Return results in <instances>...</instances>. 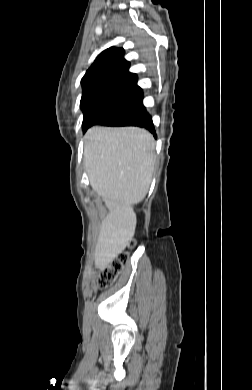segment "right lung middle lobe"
Instances as JSON below:
<instances>
[{
    "mask_svg": "<svg viewBox=\"0 0 252 390\" xmlns=\"http://www.w3.org/2000/svg\"><path fill=\"white\" fill-rule=\"evenodd\" d=\"M135 104L136 102L125 100H102L85 105L82 107L84 114L82 128L85 132L93 125L103 124Z\"/></svg>",
    "mask_w": 252,
    "mask_h": 390,
    "instance_id": "obj_1",
    "label": "right lung middle lobe"
}]
</instances>
